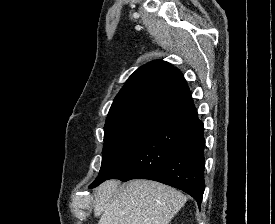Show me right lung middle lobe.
<instances>
[{"label":"right lung middle lobe","mask_w":275,"mask_h":224,"mask_svg":"<svg viewBox=\"0 0 275 224\" xmlns=\"http://www.w3.org/2000/svg\"><path fill=\"white\" fill-rule=\"evenodd\" d=\"M166 111L147 108L106 122L102 165L92 186L108 179L136 149Z\"/></svg>","instance_id":"right-lung-middle-lobe-1"}]
</instances>
